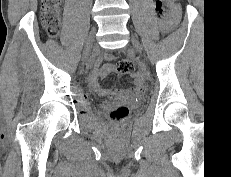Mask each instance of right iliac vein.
<instances>
[{
	"instance_id": "1",
	"label": "right iliac vein",
	"mask_w": 231,
	"mask_h": 177,
	"mask_svg": "<svg viewBox=\"0 0 231 177\" xmlns=\"http://www.w3.org/2000/svg\"><path fill=\"white\" fill-rule=\"evenodd\" d=\"M93 41H94V31L91 33L89 39H88V42L86 44V48H85V54L86 56L89 55L90 53V50L92 48V45H93Z\"/></svg>"
}]
</instances>
